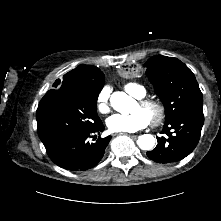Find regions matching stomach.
<instances>
[{"mask_svg": "<svg viewBox=\"0 0 221 221\" xmlns=\"http://www.w3.org/2000/svg\"><path fill=\"white\" fill-rule=\"evenodd\" d=\"M120 73L127 79H134L138 75V67L136 64L131 62H124L120 66Z\"/></svg>", "mask_w": 221, "mask_h": 221, "instance_id": "stomach-1", "label": "stomach"}]
</instances>
